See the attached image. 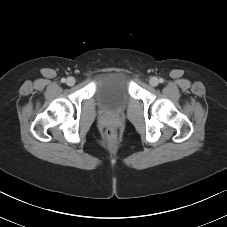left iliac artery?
I'll use <instances>...</instances> for the list:
<instances>
[{
	"label": "left iliac artery",
	"mask_w": 227,
	"mask_h": 227,
	"mask_svg": "<svg viewBox=\"0 0 227 227\" xmlns=\"http://www.w3.org/2000/svg\"><path fill=\"white\" fill-rule=\"evenodd\" d=\"M159 82H160V83H163V82H164L163 78H160V79H159Z\"/></svg>",
	"instance_id": "1"
}]
</instances>
